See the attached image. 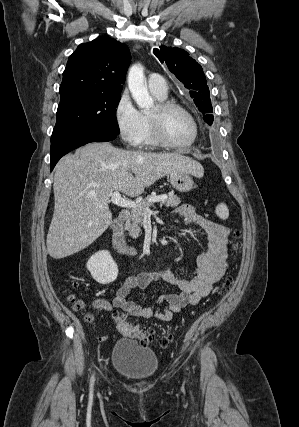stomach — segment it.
I'll return each instance as SVG.
<instances>
[{
    "instance_id": "stomach-1",
    "label": "stomach",
    "mask_w": 299,
    "mask_h": 427,
    "mask_svg": "<svg viewBox=\"0 0 299 427\" xmlns=\"http://www.w3.org/2000/svg\"><path fill=\"white\" fill-rule=\"evenodd\" d=\"M170 183L179 192H189L194 188V181L188 172H174L169 176Z\"/></svg>"
}]
</instances>
